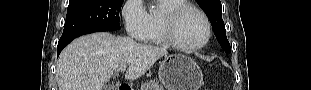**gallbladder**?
<instances>
[{
    "label": "gallbladder",
    "instance_id": "bac80fb5",
    "mask_svg": "<svg viewBox=\"0 0 311 90\" xmlns=\"http://www.w3.org/2000/svg\"><path fill=\"white\" fill-rule=\"evenodd\" d=\"M104 89H105V90H113V89H114V86H113V85H105V86H104Z\"/></svg>",
    "mask_w": 311,
    "mask_h": 90
}]
</instances>
